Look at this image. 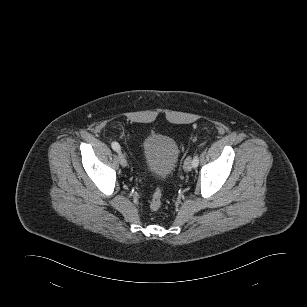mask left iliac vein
<instances>
[{"label":"left iliac vein","mask_w":307,"mask_h":307,"mask_svg":"<svg viewBox=\"0 0 307 307\" xmlns=\"http://www.w3.org/2000/svg\"><path fill=\"white\" fill-rule=\"evenodd\" d=\"M184 169L186 171H191L192 169V160H191V157H188L185 162H184Z\"/></svg>","instance_id":"1"}]
</instances>
